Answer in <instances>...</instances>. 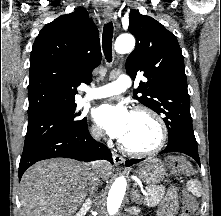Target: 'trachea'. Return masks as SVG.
Masks as SVG:
<instances>
[{
  "instance_id": "3493384b",
  "label": "trachea",
  "mask_w": 221,
  "mask_h": 216,
  "mask_svg": "<svg viewBox=\"0 0 221 216\" xmlns=\"http://www.w3.org/2000/svg\"><path fill=\"white\" fill-rule=\"evenodd\" d=\"M112 38H113V25L107 23L104 25L102 34V48L105 58L108 62L112 61Z\"/></svg>"
}]
</instances>
